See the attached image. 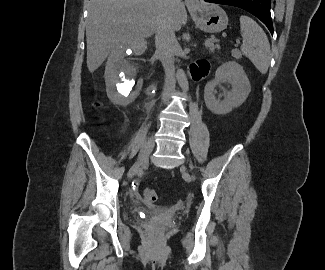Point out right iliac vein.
<instances>
[{"label":"right iliac vein","instance_id":"right-iliac-vein-1","mask_svg":"<svg viewBox=\"0 0 325 270\" xmlns=\"http://www.w3.org/2000/svg\"><path fill=\"white\" fill-rule=\"evenodd\" d=\"M153 148H154V137L151 136L146 142L144 148L140 151L137 161L130 168L128 172V177H132L137 172L139 167L148 159Z\"/></svg>","mask_w":325,"mask_h":270}]
</instances>
